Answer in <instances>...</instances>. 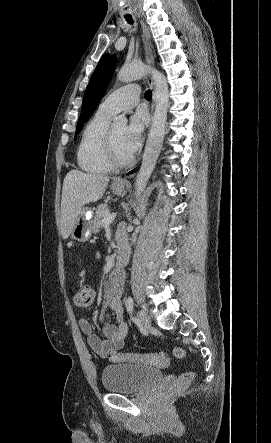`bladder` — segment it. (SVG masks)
Wrapping results in <instances>:
<instances>
[{"instance_id":"bladder-1","label":"bladder","mask_w":271,"mask_h":443,"mask_svg":"<svg viewBox=\"0 0 271 443\" xmlns=\"http://www.w3.org/2000/svg\"><path fill=\"white\" fill-rule=\"evenodd\" d=\"M163 377L160 369L148 365L116 363L104 367L103 388L111 393L129 394L143 391Z\"/></svg>"}]
</instances>
